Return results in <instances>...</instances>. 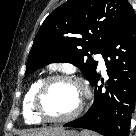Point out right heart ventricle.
I'll use <instances>...</instances> for the list:
<instances>
[{
	"mask_svg": "<svg viewBox=\"0 0 136 136\" xmlns=\"http://www.w3.org/2000/svg\"><path fill=\"white\" fill-rule=\"evenodd\" d=\"M42 80H43L42 78H38V79L34 80L30 84V86L28 87V89L24 95L22 108H23L24 120L27 124L41 123V120L37 118V116L35 115V113L32 109V101H33L34 94H35L38 86L42 82Z\"/></svg>",
	"mask_w": 136,
	"mask_h": 136,
	"instance_id": "1",
	"label": "right heart ventricle"
}]
</instances>
